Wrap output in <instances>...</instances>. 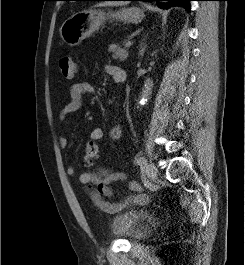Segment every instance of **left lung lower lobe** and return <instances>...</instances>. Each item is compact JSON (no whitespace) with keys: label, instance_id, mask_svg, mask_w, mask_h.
<instances>
[{"label":"left lung lower lobe","instance_id":"left-lung-lower-lobe-1","mask_svg":"<svg viewBox=\"0 0 245 265\" xmlns=\"http://www.w3.org/2000/svg\"><path fill=\"white\" fill-rule=\"evenodd\" d=\"M89 1H105V0H89ZM123 1H168V3L166 4H159V7L163 8V9H167L173 6H182L184 7L186 10H190V4L189 1H193V0H123Z\"/></svg>","mask_w":245,"mask_h":265}]
</instances>
